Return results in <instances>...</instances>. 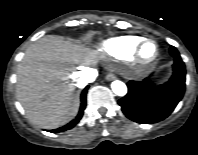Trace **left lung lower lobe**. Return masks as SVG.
<instances>
[{
    "label": "left lung lower lobe",
    "instance_id": "obj_1",
    "mask_svg": "<svg viewBox=\"0 0 198 155\" xmlns=\"http://www.w3.org/2000/svg\"><path fill=\"white\" fill-rule=\"evenodd\" d=\"M128 94L119 105L131 120L152 124L165 119L183 97L185 88V68L180 57L175 58L172 75L162 84L148 80L131 81Z\"/></svg>",
    "mask_w": 198,
    "mask_h": 155
}]
</instances>
